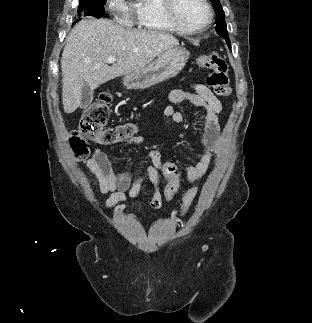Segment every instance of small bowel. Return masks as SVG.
Returning a JSON list of instances; mask_svg holds the SVG:
<instances>
[{
  "label": "small bowel",
  "instance_id": "obj_1",
  "mask_svg": "<svg viewBox=\"0 0 312 323\" xmlns=\"http://www.w3.org/2000/svg\"><path fill=\"white\" fill-rule=\"evenodd\" d=\"M168 100L172 104L190 103L205 111V114L201 116L204 151L195 165H188L185 168L187 180L194 183L205 175L213 156L221 149L220 116L223 107L213 92L200 83L193 84L191 91L184 89L171 90L168 94ZM163 115L176 124H181L185 120L184 114L172 105L164 108ZM127 142L131 145L140 146L144 144L145 139L141 135H134L129 137ZM148 157L150 164L147 167V178L154 187L153 199H161L160 174H154L153 168L160 167V165H157L156 160L157 158H162V155L160 151L152 149L149 151ZM85 165L97 178L100 192L104 195L111 193L105 203V208L108 211L114 209L118 203H126L130 199H135L141 191L144 178L140 177L132 182L130 173L115 171L107 155L101 149L94 150L91 157L85 161ZM152 177H156L157 181L152 182Z\"/></svg>",
  "mask_w": 312,
  "mask_h": 323
}]
</instances>
